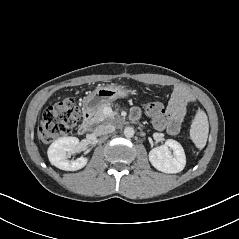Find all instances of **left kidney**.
<instances>
[{
	"label": "left kidney",
	"mask_w": 239,
	"mask_h": 239,
	"mask_svg": "<svg viewBox=\"0 0 239 239\" xmlns=\"http://www.w3.org/2000/svg\"><path fill=\"white\" fill-rule=\"evenodd\" d=\"M149 161L161 172L179 173L185 167L186 156L179 142L168 139L164 145L150 151Z\"/></svg>",
	"instance_id": "left-kidney-1"
}]
</instances>
